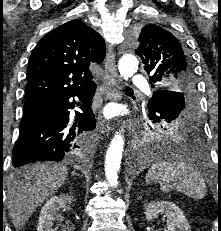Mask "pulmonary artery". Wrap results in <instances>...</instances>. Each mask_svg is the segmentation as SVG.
<instances>
[{"mask_svg":"<svg viewBox=\"0 0 221 231\" xmlns=\"http://www.w3.org/2000/svg\"><path fill=\"white\" fill-rule=\"evenodd\" d=\"M132 86L146 88L147 80L144 77H135L132 80Z\"/></svg>","mask_w":221,"mask_h":231,"instance_id":"pulmonary-artery-1","label":"pulmonary artery"}]
</instances>
